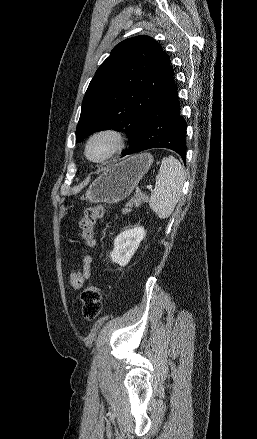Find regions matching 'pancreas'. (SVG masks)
Segmentation results:
<instances>
[{
	"mask_svg": "<svg viewBox=\"0 0 257 439\" xmlns=\"http://www.w3.org/2000/svg\"><path fill=\"white\" fill-rule=\"evenodd\" d=\"M148 202V196L143 193H136L134 197L126 204V208L122 209L123 214L131 212L132 207H139L142 203Z\"/></svg>",
	"mask_w": 257,
	"mask_h": 439,
	"instance_id": "pancreas-1",
	"label": "pancreas"
}]
</instances>
